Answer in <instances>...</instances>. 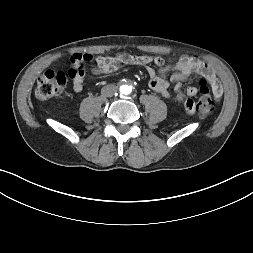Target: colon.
Here are the masks:
<instances>
[{"mask_svg": "<svg viewBox=\"0 0 253 253\" xmlns=\"http://www.w3.org/2000/svg\"><path fill=\"white\" fill-rule=\"evenodd\" d=\"M85 61L76 62L68 66L64 70H48L44 72L37 80L35 96L41 101L49 100L62 93L70 79L75 78V85L82 88L78 84L79 74H84ZM197 100V113L202 117L208 116L213 107V99L210 95L208 83L202 78L200 80V96Z\"/></svg>", "mask_w": 253, "mask_h": 253, "instance_id": "5ec220e1", "label": "colon"}]
</instances>
